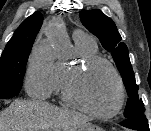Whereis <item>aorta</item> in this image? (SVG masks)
Here are the masks:
<instances>
[{"label":"aorta","instance_id":"obj_1","mask_svg":"<svg viewBox=\"0 0 151 131\" xmlns=\"http://www.w3.org/2000/svg\"><path fill=\"white\" fill-rule=\"evenodd\" d=\"M48 37L54 44L57 55L66 59L71 56V44L65 34L61 20H56L48 31Z\"/></svg>","mask_w":151,"mask_h":131}]
</instances>
